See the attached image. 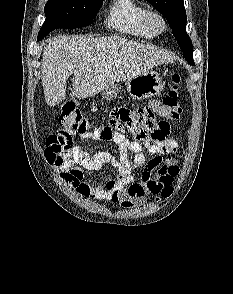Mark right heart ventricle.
Returning a JSON list of instances; mask_svg holds the SVG:
<instances>
[{
  "label": "right heart ventricle",
  "instance_id": "right-heart-ventricle-1",
  "mask_svg": "<svg viewBox=\"0 0 233 294\" xmlns=\"http://www.w3.org/2000/svg\"><path fill=\"white\" fill-rule=\"evenodd\" d=\"M147 12L148 8L138 0H112L105 23L108 28L120 34L151 39L155 34L146 24Z\"/></svg>",
  "mask_w": 233,
  "mask_h": 294
}]
</instances>
